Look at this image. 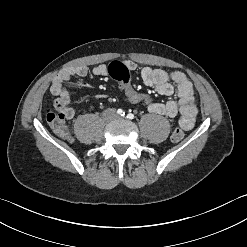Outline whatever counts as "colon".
Listing matches in <instances>:
<instances>
[{
  "label": "colon",
  "mask_w": 247,
  "mask_h": 247,
  "mask_svg": "<svg viewBox=\"0 0 247 247\" xmlns=\"http://www.w3.org/2000/svg\"><path fill=\"white\" fill-rule=\"evenodd\" d=\"M109 73L112 78L120 82L121 89L130 102L135 103L136 105L146 106H151L154 103V97L151 93L142 94L132 86L130 83L131 76L129 70L124 64L117 61L110 63ZM46 119L56 134L63 138H69L70 133L65 124V114L61 110L48 109ZM184 136V131L180 128H176L171 135V140L173 142H179Z\"/></svg>",
  "instance_id": "obj_1"
}]
</instances>
